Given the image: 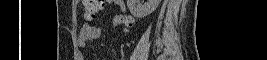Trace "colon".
I'll use <instances>...</instances> for the list:
<instances>
[{"instance_id":"1","label":"colon","mask_w":267,"mask_h":60,"mask_svg":"<svg viewBox=\"0 0 267 60\" xmlns=\"http://www.w3.org/2000/svg\"><path fill=\"white\" fill-rule=\"evenodd\" d=\"M104 2V0H84V18L89 21L98 16L103 11Z\"/></svg>"}]
</instances>
